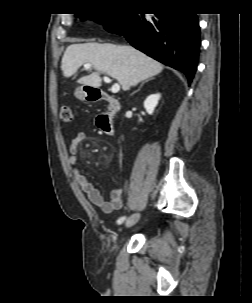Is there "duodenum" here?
<instances>
[{
  "mask_svg": "<svg viewBox=\"0 0 252 303\" xmlns=\"http://www.w3.org/2000/svg\"><path fill=\"white\" fill-rule=\"evenodd\" d=\"M87 99L90 101H105L107 103L106 110L98 116V123L102 131L111 136L114 134V126L112 119L115 113L120 109V103L113 96L94 89H86Z\"/></svg>",
  "mask_w": 252,
  "mask_h": 303,
  "instance_id": "obj_1",
  "label": "duodenum"
}]
</instances>
